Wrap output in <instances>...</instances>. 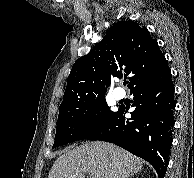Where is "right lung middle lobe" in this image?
Wrapping results in <instances>:
<instances>
[{"label":"right lung middle lobe","mask_w":194,"mask_h":178,"mask_svg":"<svg viewBox=\"0 0 194 178\" xmlns=\"http://www.w3.org/2000/svg\"><path fill=\"white\" fill-rule=\"evenodd\" d=\"M114 113L108 107L104 96L59 113L53 148L86 139Z\"/></svg>","instance_id":"obj_1"}]
</instances>
